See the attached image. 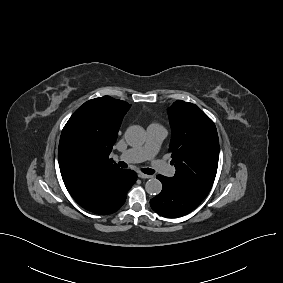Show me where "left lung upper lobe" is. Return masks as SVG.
Wrapping results in <instances>:
<instances>
[{"mask_svg":"<svg viewBox=\"0 0 283 283\" xmlns=\"http://www.w3.org/2000/svg\"><path fill=\"white\" fill-rule=\"evenodd\" d=\"M172 129L169 150L182 182L205 199L213 185L219 158V140L213 121L195 104L182 100L168 108Z\"/></svg>","mask_w":283,"mask_h":283,"instance_id":"obj_1","label":"left lung upper lobe"}]
</instances>
